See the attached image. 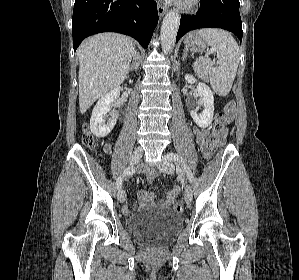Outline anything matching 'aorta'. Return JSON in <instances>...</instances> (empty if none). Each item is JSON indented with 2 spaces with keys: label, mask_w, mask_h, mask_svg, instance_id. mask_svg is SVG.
<instances>
[{
  "label": "aorta",
  "mask_w": 299,
  "mask_h": 280,
  "mask_svg": "<svg viewBox=\"0 0 299 280\" xmlns=\"http://www.w3.org/2000/svg\"><path fill=\"white\" fill-rule=\"evenodd\" d=\"M179 25L180 15L178 12L169 11L163 19L160 32L162 50L165 54L170 53L175 45Z\"/></svg>",
  "instance_id": "obj_1"
}]
</instances>
